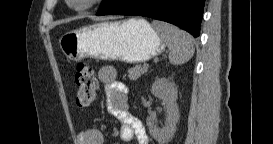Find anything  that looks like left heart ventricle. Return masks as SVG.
<instances>
[{
  "label": "left heart ventricle",
  "mask_w": 273,
  "mask_h": 144,
  "mask_svg": "<svg viewBox=\"0 0 273 144\" xmlns=\"http://www.w3.org/2000/svg\"><path fill=\"white\" fill-rule=\"evenodd\" d=\"M82 2H84V0H73V3L74 4H81Z\"/></svg>",
  "instance_id": "left-heart-ventricle-1"
}]
</instances>
